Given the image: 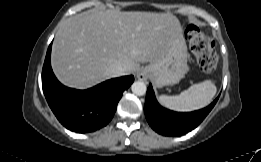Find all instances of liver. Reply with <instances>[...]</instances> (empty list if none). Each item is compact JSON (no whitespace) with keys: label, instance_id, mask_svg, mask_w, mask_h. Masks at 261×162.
I'll use <instances>...</instances> for the list:
<instances>
[{"label":"liver","instance_id":"6515ba94","mask_svg":"<svg viewBox=\"0 0 261 162\" xmlns=\"http://www.w3.org/2000/svg\"><path fill=\"white\" fill-rule=\"evenodd\" d=\"M179 29L171 13L86 11L59 29L52 46V69L66 86L88 88L115 77L116 66L126 67L130 74L139 63L158 60Z\"/></svg>","mask_w":261,"mask_h":162}]
</instances>
